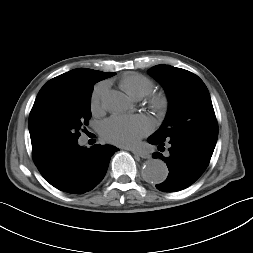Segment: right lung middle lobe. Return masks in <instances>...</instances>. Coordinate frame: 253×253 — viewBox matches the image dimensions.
<instances>
[{"label": "right lung middle lobe", "instance_id": "1", "mask_svg": "<svg viewBox=\"0 0 253 253\" xmlns=\"http://www.w3.org/2000/svg\"><path fill=\"white\" fill-rule=\"evenodd\" d=\"M93 83L43 86L29 115L32 145L55 154L76 143L91 117Z\"/></svg>", "mask_w": 253, "mask_h": 253}]
</instances>
